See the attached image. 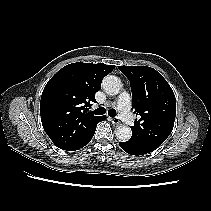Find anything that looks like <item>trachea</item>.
<instances>
[{
  "label": "trachea",
  "mask_w": 211,
  "mask_h": 211,
  "mask_svg": "<svg viewBox=\"0 0 211 211\" xmlns=\"http://www.w3.org/2000/svg\"><path fill=\"white\" fill-rule=\"evenodd\" d=\"M105 112H106V109L104 107H100V108L93 111V113L96 114V115H103V114H105ZM116 114H117V112H116L115 109L112 108V109L108 110V115L110 117H115Z\"/></svg>",
  "instance_id": "trachea-1"
}]
</instances>
